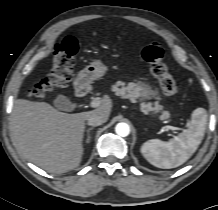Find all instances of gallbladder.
Wrapping results in <instances>:
<instances>
[{
	"instance_id": "obj_1",
	"label": "gallbladder",
	"mask_w": 218,
	"mask_h": 210,
	"mask_svg": "<svg viewBox=\"0 0 218 210\" xmlns=\"http://www.w3.org/2000/svg\"><path fill=\"white\" fill-rule=\"evenodd\" d=\"M65 101H67V99L64 96L58 95L54 100V106L57 107L58 109L64 110L62 103Z\"/></svg>"
}]
</instances>
